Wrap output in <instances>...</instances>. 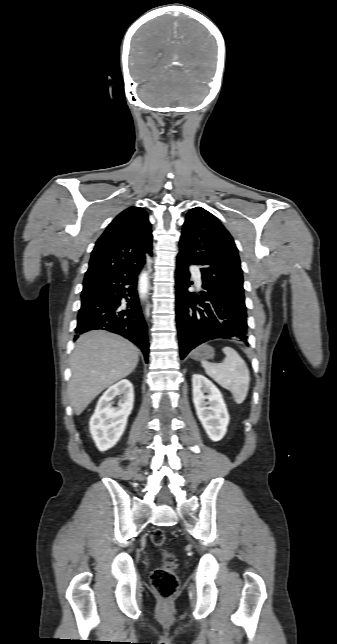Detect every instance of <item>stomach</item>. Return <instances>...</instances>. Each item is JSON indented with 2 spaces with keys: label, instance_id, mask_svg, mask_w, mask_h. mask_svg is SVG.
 <instances>
[{
  "label": "stomach",
  "instance_id": "stomach-1",
  "mask_svg": "<svg viewBox=\"0 0 337 644\" xmlns=\"http://www.w3.org/2000/svg\"><path fill=\"white\" fill-rule=\"evenodd\" d=\"M191 356L197 361L212 359L214 357V349L211 346L203 345L194 350Z\"/></svg>",
  "mask_w": 337,
  "mask_h": 644
}]
</instances>
